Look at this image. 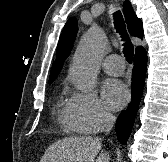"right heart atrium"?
<instances>
[{
  "label": "right heart atrium",
  "instance_id": "d8ad5b80",
  "mask_svg": "<svg viewBox=\"0 0 168 162\" xmlns=\"http://www.w3.org/2000/svg\"><path fill=\"white\" fill-rule=\"evenodd\" d=\"M66 113L69 122L85 133H98L113 119L92 91L75 92L66 105Z\"/></svg>",
  "mask_w": 168,
  "mask_h": 162
}]
</instances>
